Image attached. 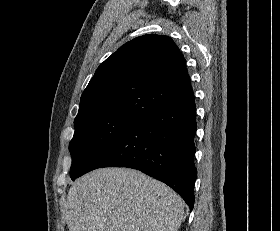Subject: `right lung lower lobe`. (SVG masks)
<instances>
[{"mask_svg": "<svg viewBox=\"0 0 280 231\" xmlns=\"http://www.w3.org/2000/svg\"><path fill=\"white\" fill-rule=\"evenodd\" d=\"M196 129L194 98L165 106L123 133L76 178L102 167L137 169L174 189L191 211L197 177L194 165Z\"/></svg>", "mask_w": 280, "mask_h": 231, "instance_id": "1", "label": "right lung lower lobe"}]
</instances>
